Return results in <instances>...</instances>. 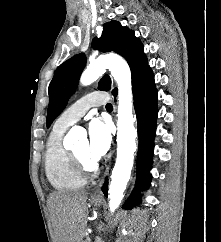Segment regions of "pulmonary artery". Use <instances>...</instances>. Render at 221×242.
Returning a JSON list of instances; mask_svg holds the SVG:
<instances>
[{
    "mask_svg": "<svg viewBox=\"0 0 221 242\" xmlns=\"http://www.w3.org/2000/svg\"><path fill=\"white\" fill-rule=\"evenodd\" d=\"M108 96L104 92H91L68 107L57 119L55 125L59 128L67 129L75 124L90 107L104 104Z\"/></svg>",
    "mask_w": 221,
    "mask_h": 242,
    "instance_id": "e3ab8cb5",
    "label": "pulmonary artery"
}]
</instances>
